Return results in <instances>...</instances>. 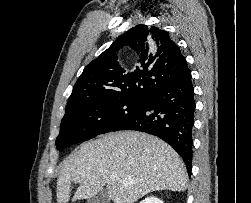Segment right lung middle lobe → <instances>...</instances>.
Listing matches in <instances>:
<instances>
[{
    "label": "right lung middle lobe",
    "instance_id": "obj_1",
    "mask_svg": "<svg viewBox=\"0 0 251 203\" xmlns=\"http://www.w3.org/2000/svg\"><path fill=\"white\" fill-rule=\"evenodd\" d=\"M143 104V100L104 99L68 105L56 139L57 150L111 132Z\"/></svg>",
    "mask_w": 251,
    "mask_h": 203
}]
</instances>
